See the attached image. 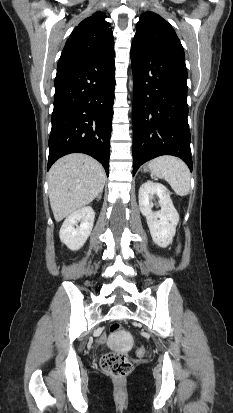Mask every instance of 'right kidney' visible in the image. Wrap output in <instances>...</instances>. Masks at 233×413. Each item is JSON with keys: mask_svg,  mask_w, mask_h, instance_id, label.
<instances>
[{"mask_svg": "<svg viewBox=\"0 0 233 413\" xmlns=\"http://www.w3.org/2000/svg\"><path fill=\"white\" fill-rule=\"evenodd\" d=\"M94 218L95 212L90 206L80 208L70 214L60 229L61 242L73 251L80 249L92 231ZM78 222H80L79 226Z\"/></svg>", "mask_w": 233, "mask_h": 413, "instance_id": "obj_1", "label": "right kidney"}]
</instances>
